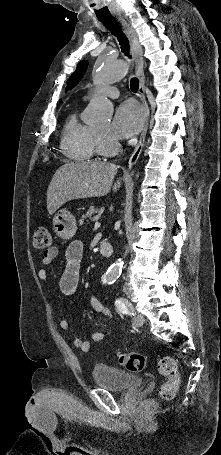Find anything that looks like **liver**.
<instances>
[{
	"mask_svg": "<svg viewBox=\"0 0 221 455\" xmlns=\"http://www.w3.org/2000/svg\"><path fill=\"white\" fill-rule=\"evenodd\" d=\"M117 166L105 162H67L55 172L47 190V210L54 214L74 199L105 196L110 192ZM121 187L119 178L113 191Z\"/></svg>",
	"mask_w": 221,
	"mask_h": 455,
	"instance_id": "1",
	"label": "liver"
}]
</instances>
